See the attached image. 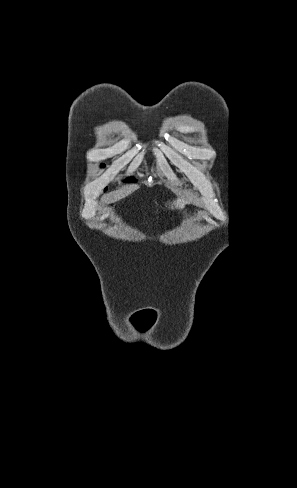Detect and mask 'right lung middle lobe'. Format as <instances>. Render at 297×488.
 <instances>
[{"instance_id":"obj_1","label":"right lung middle lobe","mask_w":297,"mask_h":488,"mask_svg":"<svg viewBox=\"0 0 297 488\" xmlns=\"http://www.w3.org/2000/svg\"><path fill=\"white\" fill-rule=\"evenodd\" d=\"M131 181H132V182H135L136 180H134V179L130 178V179L126 180L125 182H131ZM106 190H107V189H105V191H106Z\"/></svg>"}]
</instances>
